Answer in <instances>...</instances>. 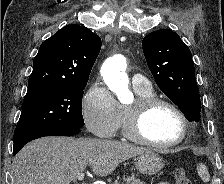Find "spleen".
Returning a JSON list of instances; mask_svg holds the SVG:
<instances>
[{
    "label": "spleen",
    "mask_w": 224,
    "mask_h": 184,
    "mask_svg": "<svg viewBox=\"0 0 224 184\" xmlns=\"http://www.w3.org/2000/svg\"><path fill=\"white\" fill-rule=\"evenodd\" d=\"M197 172L203 182H208L210 180V175H209L208 169L204 164L199 163L197 165Z\"/></svg>",
    "instance_id": "3e777b00"
}]
</instances>
